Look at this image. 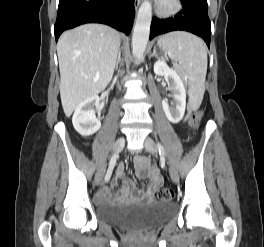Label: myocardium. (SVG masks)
Returning <instances> with one entry per match:
<instances>
[{
    "instance_id": "myocardium-1",
    "label": "myocardium",
    "mask_w": 264,
    "mask_h": 247,
    "mask_svg": "<svg viewBox=\"0 0 264 247\" xmlns=\"http://www.w3.org/2000/svg\"><path fill=\"white\" fill-rule=\"evenodd\" d=\"M181 9V0H161L156 8V12L160 16L167 17L178 13Z\"/></svg>"
}]
</instances>
